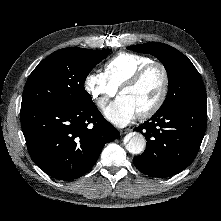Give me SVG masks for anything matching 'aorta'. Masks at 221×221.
<instances>
[{"instance_id":"aorta-1","label":"aorta","mask_w":221,"mask_h":221,"mask_svg":"<svg viewBox=\"0 0 221 221\" xmlns=\"http://www.w3.org/2000/svg\"><path fill=\"white\" fill-rule=\"evenodd\" d=\"M125 147L131 154H140L146 147V139L141 133H133Z\"/></svg>"}]
</instances>
